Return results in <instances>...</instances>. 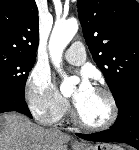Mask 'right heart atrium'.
<instances>
[{
    "label": "right heart atrium",
    "mask_w": 139,
    "mask_h": 150,
    "mask_svg": "<svg viewBox=\"0 0 139 150\" xmlns=\"http://www.w3.org/2000/svg\"><path fill=\"white\" fill-rule=\"evenodd\" d=\"M27 105L43 124L59 122L68 112L69 103L54 88L49 74L40 67L31 70L25 85Z\"/></svg>",
    "instance_id": "1"
}]
</instances>
